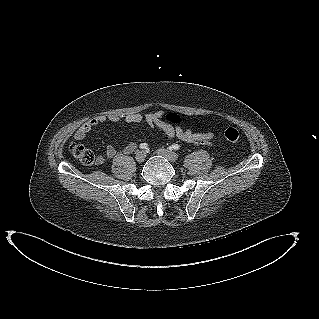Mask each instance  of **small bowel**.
I'll use <instances>...</instances> for the list:
<instances>
[{
	"label": "small bowel",
	"mask_w": 319,
	"mask_h": 319,
	"mask_svg": "<svg viewBox=\"0 0 319 319\" xmlns=\"http://www.w3.org/2000/svg\"><path fill=\"white\" fill-rule=\"evenodd\" d=\"M168 113L164 111H155L149 112L144 115L142 114H129L125 117V121L129 124L140 123L145 121L151 127H158L161 129L164 134L172 139L177 138L185 143L193 145H210L213 139V134L210 132L196 133L193 132L190 128L182 125L172 126L171 124L164 122L162 120ZM118 122L121 120V117L116 114L109 116L100 115L94 117L80 126L75 134L74 138L76 140H84L86 136L91 132V130L97 125L104 123L105 121ZM136 149V144L134 142H129L125 145L122 150V153L125 155L131 154ZM118 154L116 148L112 145L107 146L103 155L97 157V164L101 165L105 161L113 159Z\"/></svg>",
	"instance_id": "small-bowel-1"
}]
</instances>
